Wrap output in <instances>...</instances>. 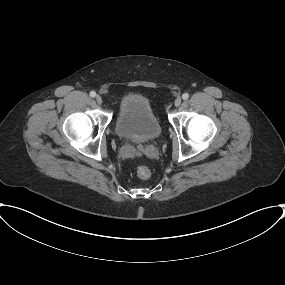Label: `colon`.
Instances as JSON below:
<instances>
[{
	"label": "colon",
	"instance_id": "5ec220e1",
	"mask_svg": "<svg viewBox=\"0 0 285 285\" xmlns=\"http://www.w3.org/2000/svg\"><path fill=\"white\" fill-rule=\"evenodd\" d=\"M137 175L141 179H147L151 175V171L147 166H140L137 170Z\"/></svg>",
	"mask_w": 285,
	"mask_h": 285
}]
</instances>
